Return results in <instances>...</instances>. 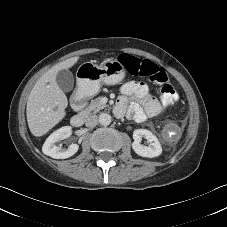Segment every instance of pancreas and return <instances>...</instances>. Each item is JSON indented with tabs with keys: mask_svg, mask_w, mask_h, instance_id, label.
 <instances>
[{
	"mask_svg": "<svg viewBox=\"0 0 227 227\" xmlns=\"http://www.w3.org/2000/svg\"><path fill=\"white\" fill-rule=\"evenodd\" d=\"M106 104L101 101V97H98L90 102V104L82 111L84 115H88L90 113H97L100 110L104 109Z\"/></svg>",
	"mask_w": 227,
	"mask_h": 227,
	"instance_id": "obj_1",
	"label": "pancreas"
}]
</instances>
